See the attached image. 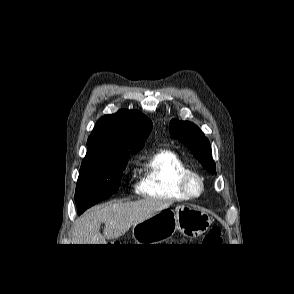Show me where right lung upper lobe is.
Wrapping results in <instances>:
<instances>
[{"instance_id":"obj_1","label":"right lung upper lobe","mask_w":294,"mask_h":294,"mask_svg":"<svg viewBox=\"0 0 294 294\" xmlns=\"http://www.w3.org/2000/svg\"><path fill=\"white\" fill-rule=\"evenodd\" d=\"M152 129V122L134 110L101 117L87 141V153L137 152Z\"/></svg>"}]
</instances>
